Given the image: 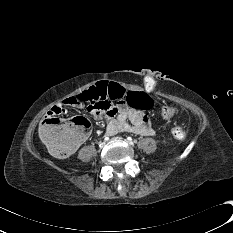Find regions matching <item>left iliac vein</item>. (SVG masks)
<instances>
[{
	"label": "left iliac vein",
	"instance_id": "left-iliac-vein-1",
	"mask_svg": "<svg viewBox=\"0 0 233 233\" xmlns=\"http://www.w3.org/2000/svg\"><path fill=\"white\" fill-rule=\"evenodd\" d=\"M115 139H119V140H123L126 141L125 139L121 138V137H116ZM130 143V142H129Z\"/></svg>",
	"mask_w": 233,
	"mask_h": 233
}]
</instances>
